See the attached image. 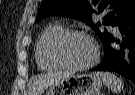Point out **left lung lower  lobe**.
Returning <instances> with one entry per match:
<instances>
[{"mask_svg": "<svg viewBox=\"0 0 135 95\" xmlns=\"http://www.w3.org/2000/svg\"><path fill=\"white\" fill-rule=\"evenodd\" d=\"M121 38L110 34L103 43L104 58L92 71L116 72L135 84V13L118 25Z\"/></svg>", "mask_w": 135, "mask_h": 95, "instance_id": "obj_1", "label": "left lung lower lobe"}]
</instances>
